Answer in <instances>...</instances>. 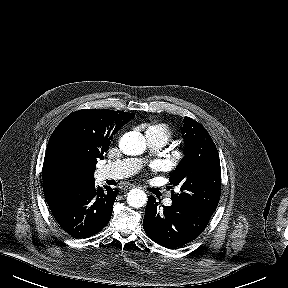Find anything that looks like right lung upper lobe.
<instances>
[{"label":"right lung upper lobe","instance_id":"cb5924a9","mask_svg":"<svg viewBox=\"0 0 288 288\" xmlns=\"http://www.w3.org/2000/svg\"><path fill=\"white\" fill-rule=\"evenodd\" d=\"M134 114L82 109L68 115L53 131L42 169L44 195L95 182L94 171L113 136Z\"/></svg>","mask_w":288,"mask_h":288}]
</instances>
